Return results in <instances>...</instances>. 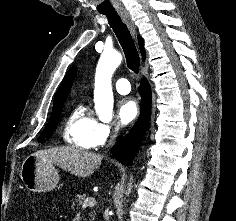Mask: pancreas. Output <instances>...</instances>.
<instances>
[{"mask_svg":"<svg viewBox=\"0 0 236 221\" xmlns=\"http://www.w3.org/2000/svg\"><path fill=\"white\" fill-rule=\"evenodd\" d=\"M85 197H86V194L78 193V194L75 196V198L72 199V201H73V202H72V207L79 208V207L83 204V202H84V200H85ZM89 217H90V221H94L95 217H94V214H93V213H91V214L89 215Z\"/></svg>","mask_w":236,"mask_h":221,"instance_id":"cf45deb5","label":"pancreas"}]
</instances>
